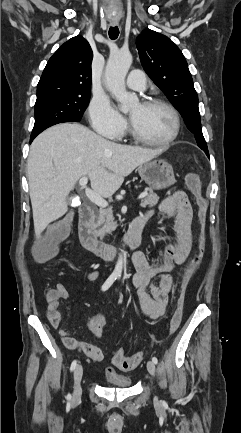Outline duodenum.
Masks as SVG:
<instances>
[{"instance_id":"duodenum-1","label":"duodenum","mask_w":241,"mask_h":433,"mask_svg":"<svg viewBox=\"0 0 241 433\" xmlns=\"http://www.w3.org/2000/svg\"><path fill=\"white\" fill-rule=\"evenodd\" d=\"M93 210L89 205H83L79 211V239L82 246L98 257L114 260L122 246L100 241L92 228ZM147 218L143 215L136 216L129 227L123 247L135 250L142 238Z\"/></svg>"}]
</instances>
